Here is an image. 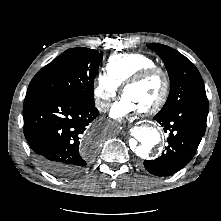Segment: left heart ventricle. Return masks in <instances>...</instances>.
I'll use <instances>...</instances> for the list:
<instances>
[{
    "label": "left heart ventricle",
    "instance_id": "b2bd125f",
    "mask_svg": "<svg viewBox=\"0 0 221 221\" xmlns=\"http://www.w3.org/2000/svg\"><path fill=\"white\" fill-rule=\"evenodd\" d=\"M162 88V80L157 76L128 87L124 95L130 98L141 110L150 106L159 98Z\"/></svg>",
    "mask_w": 221,
    "mask_h": 221
}]
</instances>
